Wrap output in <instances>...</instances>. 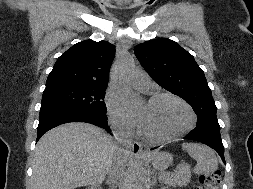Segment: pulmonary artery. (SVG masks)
<instances>
[{
  "mask_svg": "<svg viewBox=\"0 0 253 189\" xmlns=\"http://www.w3.org/2000/svg\"><path fill=\"white\" fill-rule=\"evenodd\" d=\"M134 84L140 89L147 90L151 86V80L145 73H140L136 75Z\"/></svg>",
  "mask_w": 253,
  "mask_h": 189,
  "instance_id": "obj_1",
  "label": "pulmonary artery"
}]
</instances>
